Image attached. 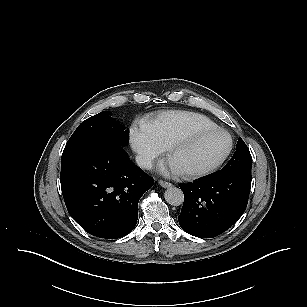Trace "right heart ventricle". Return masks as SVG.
Segmentation results:
<instances>
[{
	"label": "right heart ventricle",
	"mask_w": 307,
	"mask_h": 307,
	"mask_svg": "<svg viewBox=\"0 0 307 307\" xmlns=\"http://www.w3.org/2000/svg\"><path fill=\"white\" fill-rule=\"evenodd\" d=\"M145 126L151 136L165 149L191 132L217 127V124L199 113L170 110L150 118Z\"/></svg>",
	"instance_id": "right-heart-ventricle-1"
}]
</instances>
